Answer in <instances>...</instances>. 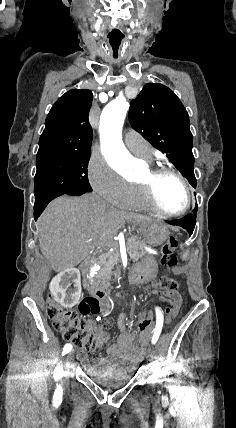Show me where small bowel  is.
I'll use <instances>...</instances> for the list:
<instances>
[{
	"label": "small bowel",
	"mask_w": 236,
	"mask_h": 428,
	"mask_svg": "<svg viewBox=\"0 0 236 428\" xmlns=\"http://www.w3.org/2000/svg\"><path fill=\"white\" fill-rule=\"evenodd\" d=\"M155 309L161 311L158 306H156ZM142 317L147 320V324L143 327H140L137 324L134 326L129 325L126 315L124 313L120 315L118 319L120 334L116 343L110 345L107 349L108 359L133 362L139 361L143 358L145 346L152 333V313H148L146 315L142 314ZM110 324L111 321L107 320L103 324V327H108ZM78 359L87 367L93 368V365H91L88 361L85 351L81 350L78 353ZM99 363H103V361H100Z\"/></svg>",
	"instance_id": "c3829d8e"
}]
</instances>
